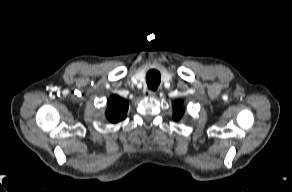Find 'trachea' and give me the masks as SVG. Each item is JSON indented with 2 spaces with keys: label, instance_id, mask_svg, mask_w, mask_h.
I'll list each match as a JSON object with an SVG mask.
<instances>
[{
  "label": "trachea",
  "instance_id": "1",
  "mask_svg": "<svg viewBox=\"0 0 292 192\" xmlns=\"http://www.w3.org/2000/svg\"><path fill=\"white\" fill-rule=\"evenodd\" d=\"M146 82L150 90H156L161 82V75L159 71L152 69L146 75Z\"/></svg>",
  "mask_w": 292,
  "mask_h": 192
}]
</instances>
